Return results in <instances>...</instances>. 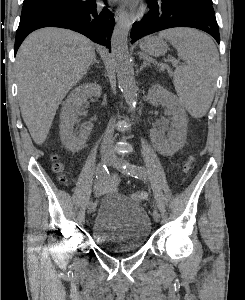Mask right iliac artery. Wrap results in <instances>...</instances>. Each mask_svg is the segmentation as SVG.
Segmentation results:
<instances>
[{"label":"right iliac artery","mask_w":245,"mask_h":300,"mask_svg":"<svg viewBox=\"0 0 245 300\" xmlns=\"http://www.w3.org/2000/svg\"><path fill=\"white\" fill-rule=\"evenodd\" d=\"M109 171L107 169V166L103 163H100L96 170V178L99 181H104L108 177ZM90 205H97V202H94L93 200L90 202Z\"/></svg>","instance_id":"1"}]
</instances>
